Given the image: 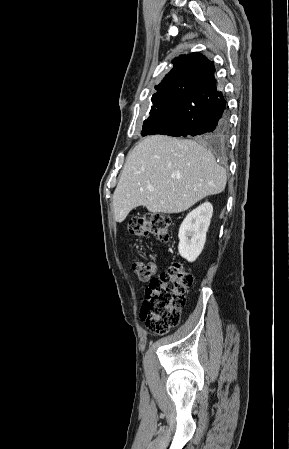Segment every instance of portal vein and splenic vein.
I'll return each mask as SVG.
<instances>
[{
	"mask_svg": "<svg viewBox=\"0 0 289 449\" xmlns=\"http://www.w3.org/2000/svg\"><path fill=\"white\" fill-rule=\"evenodd\" d=\"M149 190H150V191H154V188H153V187H149Z\"/></svg>",
	"mask_w": 289,
	"mask_h": 449,
	"instance_id": "portal-vein-and-splenic-vein-1",
	"label": "portal vein and splenic vein"
}]
</instances>
